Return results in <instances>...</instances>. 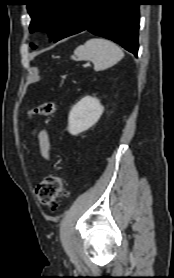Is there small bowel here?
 Wrapping results in <instances>:
<instances>
[{
	"label": "small bowel",
	"mask_w": 174,
	"mask_h": 278,
	"mask_svg": "<svg viewBox=\"0 0 174 278\" xmlns=\"http://www.w3.org/2000/svg\"><path fill=\"white\" fill-rule=\"evenodd\" d=\"M38 142L41 150V154L45 159H50L51 146L48 137V133L45 130H40L38 132Z\"/></svg>",
	"instance_id": "obj_1"
}]
</instances>
